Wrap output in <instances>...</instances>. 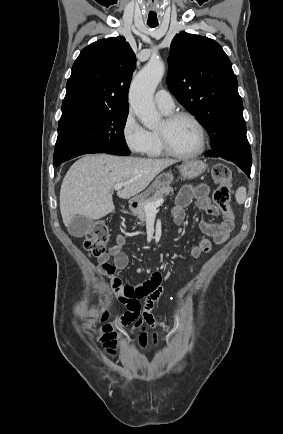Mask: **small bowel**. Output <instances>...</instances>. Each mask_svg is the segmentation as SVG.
Here are the masks:
<instances>
[{
	"label": "small bowel",
	"mask_w": 283,
	"mask_h": 434,
	"mask_svg": "<svg viewBox=\"0 0 283 434\" xmlns=\"http://www.w3.org/2000/svg\"><path fill=\"white\" fill-rule=\"evenodd\" d=\"M196 200L198 207L209 216H217L218 208L212 205L209 198V188L205 184L186 185L181 188L177 195L171 215L176 224H181L185 217V208ZM234 227L233 220H226L219 223H210L205 220L200 222L202 233L210 237L216 244L225 243ZM126 242L123 234L116 236L115 244L108 253L98 257V271L111 278L112 287L117 294L119 301L126 305L127 311L115 321L102 326L97 333L98 340L103 344L107 354L113 355L120 344L122 337H130L136 330L141 333L138 344L141 349H145L148 344L147 328H155L159 324L155 321L151 310L154 302L161 296L163 289L161 285L162 276L159 272H154L150 279L142 287L134 288L126 285L118 277V273L128 265V257L122 248ZM211 241L206 237L198 239L197 243L190 249L194 258H199L211 251ZM144 298L142 306L139 299ZM133 324L130 331L119 332L118 329Z\"/></svg>",
	"instance_id": "obj_1"
}]
</instances>
